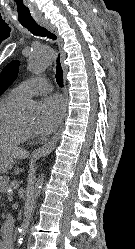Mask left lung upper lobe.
<instances>
[{
	"mask_svg": "<svg viewBox=\"0 0 135 249\" xmlns=\"http://www.w3.org/2000/svg\"><path fill=\"white\" fill-rule=\"evenodd\" d=\"M19 61L10 62L0 74V95L13 83L17 76Z\"/></svg>",
	"mask_w": 135,
	"mask_h": 249,
	"instance_id": "5c2ea615",
	"label": "left lung upper lobe"
}]
</instances>
